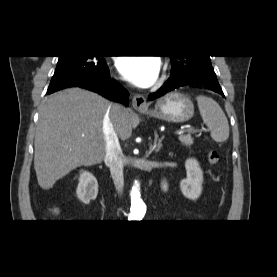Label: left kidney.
Listing matches in <instances>:
<instances>
[{
	"mask_svg": "<svg viewBox=\"0 0 277 277\" xmlns=\"http://www.w3.org/2000/svg\"><path fill=\"white\" fill-rule=\"evenodd\" d=\"M186 178L180 181L182 194L191 200H196L202 193L203 172L196 159L189 158L185 162Z\"/></svg>",
	"mask_w": 277,
	"mask_h": 277,
	"instance_id": "1",
	"label": "left kidney"
}]
</instances>
